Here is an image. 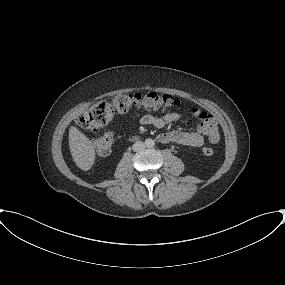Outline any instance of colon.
<instances>
[{
    "instance_id": "colon-1",
    "label": "colon",
    "mask_w": 285,
    "mask_h": 285,
    "mask_svg": "<svg viewBox=\"0 0 285 285\" xmlns=\"http://www.w3.org/2000/svg\"><path fill=\"white\" fill-rule=\"evenodd\" d=\"M182 102L169 95H159L155 92L135 93L125 92L118 94L111 101H104L83 112L77 119L78 125L92 132L99 131L109 123L115 113L124 114L133 109L163 111L171 107H179ZM193 116L197 120L198 129L208 136L212 143L219 141L220 133L216 119L198 109L192 110ZM114 137L111 132H104L96 141L95 149L100 157L107 156L112 148ZM203 154L211 156L214 150L211 147H204Z\"/></svg>"
}]
</instances>
